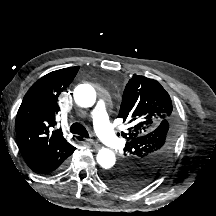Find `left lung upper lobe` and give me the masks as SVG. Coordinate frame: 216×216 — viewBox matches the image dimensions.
<instances>
[{"mask_svg":"<svg viewBox=\"0 0 216 216\" xmlns=\"http://www.w3.org/2000/svg\"><path fill=\"white\" fill-rule=\"evenodd\" d=\"M169 94L159 82L134 74L125 87L119 117L129 128L124 157L106 171L112 188L131 192L154 181L166 166L178 137V120Z\"/></svg>","mask_w":216,"mask_h":216,"instance_id":"left-lung-upper-lobe-1","label":"left lung upper lobe"}]
</instances>
